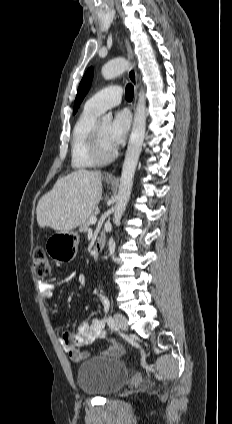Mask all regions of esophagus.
<instances>
[{"mask_svg":"<svg viewBox=\"0 0 232 424\" xmlns=\"http://www.w3.org/2000/svg\"><path fill=\"white\" fill-rule=\"evenodd\" d=\"M125 46H126V50H127V56H128V60L130 63V69L128 71V77L134 87V99L132 102V108L135 109V105H136V99H137V72H136V63H135V58H134V54L131 48V45L129 43V41L127 39H125ZM115 170H116V165L114 166L113 170L109 173H107L105 175L106 179H115Z\"/></svg>","mask_w":232,"mask_h":424,"instance_id":"1","label":"esophagus"}]
</instances>
